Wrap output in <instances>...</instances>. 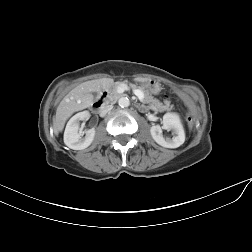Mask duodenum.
Returning a JSON list of instances; mask_svg holds the SVG:
<instances>
[{
  "label": "duodenum",
  "instance_id": "duodenum-1",
  "mask_svg": "<svg viewBox=\"0 0 252 252\" xmlns=\"http://www.w3.org/2000/svg\"><path fill=\"white\" fill-rule=\"evenodd\" d=\"M109 97V91L102 93V95L97 99L93 105L92 108L94 111H100L103 108L105 100Z\"/></svg>",
  "mask_w": 252,
  "mask_h": 252
}]
</instances>
